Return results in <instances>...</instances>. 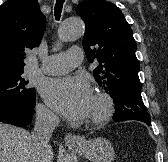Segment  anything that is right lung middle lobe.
Returning a JSON list of instances; mask_svg holds the SVG:
<instances>
[{
	"label": "right lung middle lobe",
	"instance_id": "right-lung-middle-lobe-1",
	"mask_svg": "<svg viewBox=\"0 0 168 162\" xmlns=\"http://www.w3.org/2000/svg\"><path fill=\"white\" fill-rule=\"evenodd\" d=\"M22 72L0 75V101L22 105L35 102V90L27 86L28 81L21 77Z\"/></svg>",
	"mask_w": 168,
	"mask_h": 162
}]
</instances>
